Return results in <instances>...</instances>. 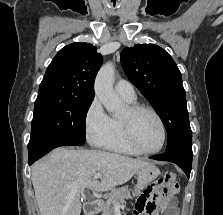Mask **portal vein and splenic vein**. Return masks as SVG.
Returning a JSON list of instances; mask_svg holds the SVG:
<instances>
[{"label": "portal vein and splenic vein", "mask_w": 223, "mask_h": 215, "mask_svg": "<svg viewBox=\"0 0 223 215\" xmlns=\"http://www.w3.org/2000/svg\"><path fill=\"white\" fill-rule=\"evenodd\" d=\"M98 177H102V173H96V175H94L93 179H98ZM114 207H115V209H120V203H114Z\"/></svg>", "instance_id": "18ae733b"}]
</instances>
